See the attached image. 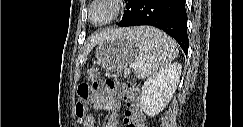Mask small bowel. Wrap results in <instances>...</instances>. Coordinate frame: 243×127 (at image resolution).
Wrapping results in <instances>:
<instances>
[{
    "instance_id": "small-bowel-1",
    "label": "small bowel",
    "mask_w": 243,
    "mask_h": 127,
    "mask_svg": "<svg viewBox=\"0 0 243 127\" xmlns=\"http://www.w3.org/2000/svg\"><path fill=\"white\" fill-rule=\"evenodd\" d=\"M94 111L107 110L109 112L106 127H118L119 125V116L121 113V103L120 101L112 98L106 97L98 99L93 103ZM96 119L94 114H89L83 123L84 127H95Z\"/></svg>"
}]
</instances>
